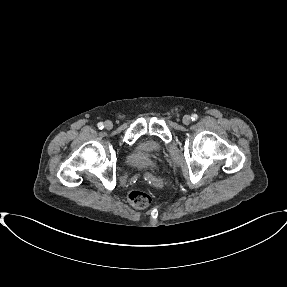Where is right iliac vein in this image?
<instances>
[{
	"instance_id": "1",
	"label": "right iliac vein",
	"mask_w": 287,
	"mask_h": 287,
	"mask_svg": "<svg viewBox=\"0 0 287 287\" xmlns=\"http://www.w3.org/2000/svg\"><path fill=\"white\" fill-rule=\"evenodd\" d=\"M104 127H105L107 130H110V129H112L113 124H112L111 121H106L105 124H104Z\"/></svg>"
}]
</instances>
